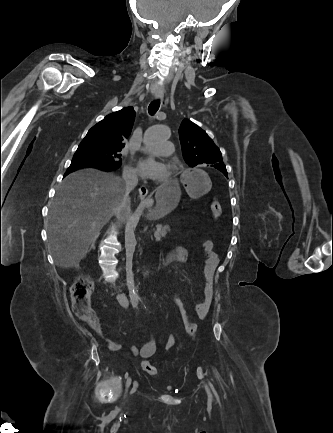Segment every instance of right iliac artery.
I'll return each instance as SVG.
<instances>
[{
    "instance_id": "1",
    "label": "right iliac artery",
    "mask_w": 333,
    "mask_h": 433,
    "mask_svg": "<svg viewBox=\"0 0 333 433\" xmlns=\"http://www.w3.org/2000/svg\"><path fill=\"white\" fill-rule=\"evenodd\" d=\"M128 378V372L125 373V379Z\"/></svg>"
}]
</instances>
